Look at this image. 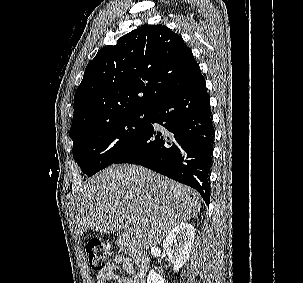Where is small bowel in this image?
Instances as JSON below:
<instances>
[{
	"label": "small bowel",
	"mask_w": 303,
	"mask_h": 283,
	"mask_svg": "<svg viewBox=\"0 0 303 283\" xmlns=\"http://www.w3.org/2000/svg\"><path fill=\"white\" fill-rule=\"evenodd\" d=\"M125 271L126 275L121 276L119 271ZM144 283L140 278L139 272L134 269L131 258L117 255L108 261L102 271L96 276V283Z\"/></svg>",
	"instance_id": "obj_1"
}]
</instances>
